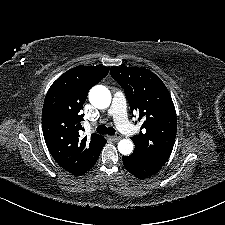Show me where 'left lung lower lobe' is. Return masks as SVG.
<instances>
[{
	"instance_id": "1",
	"label": "left lung lower lobe",
	"mask_w": 225,
	"mask_h": 225,
	"mask_svg": "<svg viewBox=\"0 0 225 225\" xmlns=\"http://www.w3.org/2000/svg\"><path fill=\"white\" fill-rule=\"evenodd\" d=\"M123 163L125 168L139 179L148 178L156 174L163 166L162 164L149 161L134 153L130 156H123Z\"/></svg>"
}]
</instances>
